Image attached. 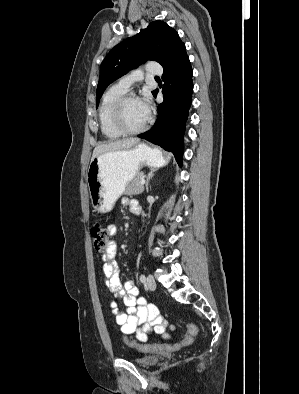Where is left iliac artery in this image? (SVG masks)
<instances>
[{
  "instance_id": "obj_1",
  "label": "left iliac artery",
  "mask_w": 299,
  "mask_h": 394,
  "mask_svg": "<svg viewBox=\"0 0 299 394\" xmlns=\"http://www.w3.org/2000/svg\"><path fill=\"white\" fill-rule=\"evenodd\" d=\"M140 281H141L142 283H144V282L146 281V277H145L144 274H141V276H140Z\"/></svg>"
}]
</instances>
